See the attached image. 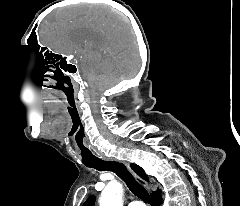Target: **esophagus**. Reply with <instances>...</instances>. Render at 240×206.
<instances>
[{"label": "esophagus", "instance_id": "1", "mask_svg": "<svg viewBox=\"0 0 240 206\" xmlns=\"http://www.w3.org/2000/svg\"><path fill=\"white\" fill-rule=\"evenodd\" d=\"M103 159L106 160V161H113V160L118 161L117 159L112 158V157H103ZM126 165L129 167V165H128L127 163H126ZM133 174H134L135 179L137 180V182H138L139 184H141L142 186L148 188V184H147V182H146L145 180H143V179H142L140 176H138L137 174H135V173H133Z\"/></svg>", "mask_w": 240, "mask_h": 206}]
</instances>
